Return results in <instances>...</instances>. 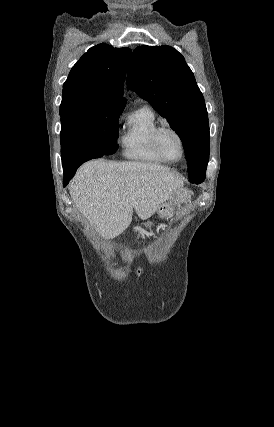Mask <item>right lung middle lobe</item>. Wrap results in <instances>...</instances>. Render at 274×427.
<instances>
[{
    "instance_id": "obj_1",
    "label": "right lung middle lobe",
    "mask_w": 274,
    "mask_h": 427,
    "mask_svg": "<svg viewBox=\"0 0 274 427\" xmlns=\"http://www.w3.org/2000/svg\"><path fill=\"white\" fill-rule=\"evenodd\" d=\"M124 107L119 102H88L60 108L62 165L113 154L118 148L117 121Z\"/></svg>"
}]
</instances>
